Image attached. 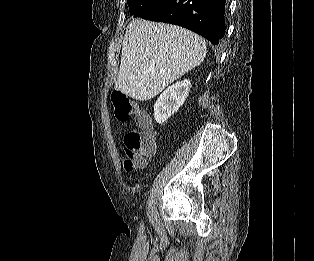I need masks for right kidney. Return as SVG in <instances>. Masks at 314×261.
<instances>
[{
  "instance_id": "1",
  "label": "right kidney",
  "mask_w": 314,
  "mask_h": 261,
  "mask_svg": "<svg viewBox=\"0 0 314 261\" xmlns=\"http://www.w3.org/2000/svg\"><path fill=\"white\" fill-rule=\"evenodd\" d=\"M191 83L189 80L176 82L168 87L160 95L154 105V118L157 123L162 124L167 121L184 104Z\"/></svg>"
}]
</instances>
